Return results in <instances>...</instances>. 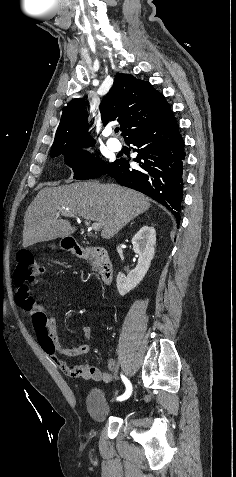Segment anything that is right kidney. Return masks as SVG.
Masks as SVG:
<instances>
[{
  "mask_svg": "<svg viewBox=\"0 0 236 477\" xmlns=\"http://www.w3.org/2000/svg\"><path fill=\"white\" fill-rule=\"evenodd\" d=\"M156 231L154 227L143 226L132 238L133 250L138 254V264L127 276L118 273L116 285L118 292L124 296L134 289L145 277L154 257Z\"/></svg>",
  "mask_w": 236,
  "mask_h": 477,
  "instance_id": "ca27d5eb",
  "label": "right kidney"
}]
</instances>
